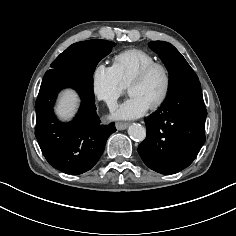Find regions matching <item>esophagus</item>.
<instances>
[{
    "label": "esophagus",
    "mask_w": 236,
    "mask_h": 236,
    "mask_svg": "<svg viewBox=\"0 0 236 236\" xmlns=\"http://www.w3.org/2000/svg\"><path fill=\"white\" fill-rule=\"evenodd\" d=\"M115 126H116V129H117V130H124V129H126V128L128 127V123L117 122V123L115 124Z\"/></svg>",
    "instance_id": "34e87169"
}]
</instances>
